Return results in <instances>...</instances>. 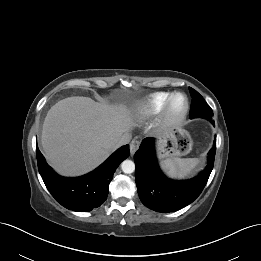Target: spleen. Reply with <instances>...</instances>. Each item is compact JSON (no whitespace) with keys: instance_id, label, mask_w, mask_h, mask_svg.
Returning <instances> with one entry per match:
<instances>
[{"instance_id":"1","label":"spleen","mask_w":261,"mask_h":261,"mask_svg":"<svg viewBox=\"0 0 261 261\" xmlns=\"http://www.w3.org/2000/svg\"><path fill=\"white\" fill-rule=\"evenodd\" d=\"M198 162L197 158H167L161 162V168L171 177L183 178Z\"/></svg>"}]
</instances>
